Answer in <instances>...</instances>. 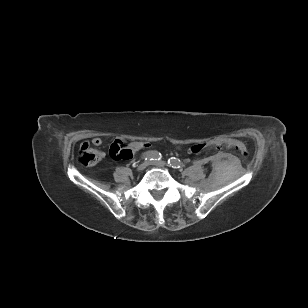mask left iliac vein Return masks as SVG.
<instances>
[{
    "mask_svg": "<svg viewBox=\"0 0 308 308\" xmlns=\"http://www.w3.org/2000/svg\"><path fill=\"white\" fill-rule=\"evenodd\" d=\"M152 164L156 167H159V168H163V167L167 166V163L165 161H154V162H152Z\"/></svg>",
    "mask_w": 308,
    "mask_h": 308,
    "instance_id": "1",
    "label": "left iliac vein"
}]
</instances>
